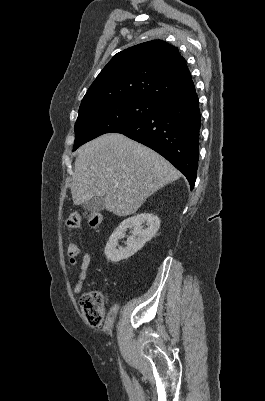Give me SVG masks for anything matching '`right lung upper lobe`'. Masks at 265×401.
<instances>
[{
  "mask_svg": "<svg viewBox=\"0 0 265 401\" xmlns=\"http://www.w3.org/2000/svg\"><path fill=\"white\" fill-rule=\"evenodd\" d=\"M194 83L177 47L152 40L117 53L82 99L86 105L105 99L141 98L162 102L189 92Z\"/></svg>",
  "mask_w": 265,
  "mask_h": 401,
  "instance_id": "obj_1",
  "label": "right lung upper lobe"
}]
</instances>
